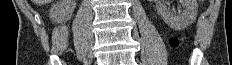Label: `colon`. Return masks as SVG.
Instances as JSON below:
<instances>
[{
  "instance_id": "1",
  "label": "colon",
  "mask_w": 232,
  "mask_h": 65,
  "mask_svg": "<svg viewBox=\"0 0 232 65\" xmlns=\"http://www.w3.org/2000/svg\"><path fill=\"white\" fill-rule=\"evenodd\" d=\"M183 41V38L177 37V36H171L169 38V45L171 47H177L178 45H180Z\"/></svg>"
}]
</instances>
